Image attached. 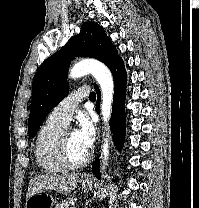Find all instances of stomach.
Wrapping results in <instances>:
<instances>
[{
    "label": "stomach",
    "instance_id": "stomach-1",
    "mask_svg": "<svg viewBox=\"0 0 199 208\" xmlns=\"http://www.w3.org/2000/svg\"><path fill=\"white\" fill-rule=\"evenodd\" d=\"M81 185L84 189H92L93 182L81 180ZM54 198L51 194L44 192H38L26 200L25 208H53Z\"/></svg>",
    "mask_w": 199,
    "mask_h": 208
}]
</instances>
